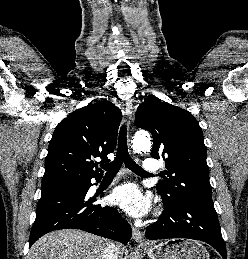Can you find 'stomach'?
Masks as SVG:
<instances>
[{"mask_svg": "<svg viewBox=\"0 0 248 259\" xmlns=\"http://www.w3.org/2000/svg\"><path fill=\"white\" fill-rule=\"evenodd\" d=\"M143 249L149 259H210L206 248L190 239H169Z\"/></svg>", "mask_w": 248, "mask_h": 259, "instance_id": "1", "label": "stomach"}]
</instances>
